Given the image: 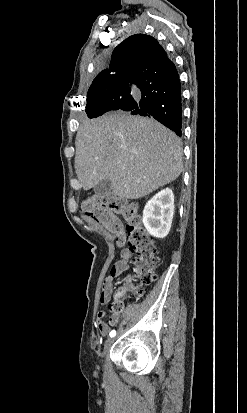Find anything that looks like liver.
<instances>
[{"label":"liver","mask_w":247,"mask_h":413,"mask_svg":"<svg viewBox=\"0 0 247 413\" xmlns=\"http://www.w3.org/2000/svg\"><path fill=\"white\" fill-rule=\"evenodd\" d=\"M182 168L181 138L155 118L106 112L78 128L75 170L84 190L109 178L113 194L140 198L178 178Z\"/></svg>","instance_id":"1"}]
</instances>
